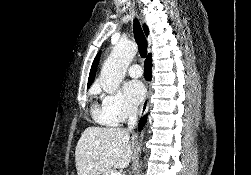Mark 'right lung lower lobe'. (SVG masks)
Instances as JSON below:
<instances>
[{
  "mask_svg": "<svg viewBox=\"0 0 251 175\" xmlns=\"http://www.w3.org/2000/svg\"><path fill=\"white\" fill-rule=\"evenodd\" d=\"M151 68H152V59H146L145 60V63H144V73H145V79L147 80H151V77H152V73H151ZM146 122V117L144 116L140 123H139V129H141L142 126H144Z\"/></svg>",
  "mask_w": 251,
  "mask_h": 175,
  "instance_id": "1",
  "label": "right lung lower lobe"
}]
</instances>
